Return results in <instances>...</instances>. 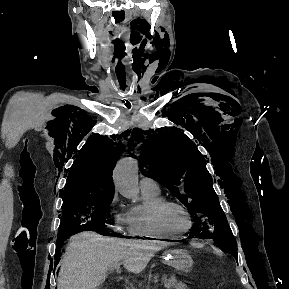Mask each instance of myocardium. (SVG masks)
<instances>
[{"label":"myocardium","mask_w":289,"mask_h":289,"mask_svg":"<svg viewBox=\"0 0 289 289\" xmlns=\"http://www.w3.org/2000/svg\"><path fill=\"white\" fill-rule=\"evenodd\" d=\"M169 206H175V207L179 208L186 215V217L188 219V226L183 231L174 233V232L167 230L164 227L162 220H161V216H162L163 210ZM150 218H151L152 223L155 226V228L158 229L160 232H162L163 234H165L168 237H179V236L185 235L186 233H188L191 230L192 225H193L192 216H191V213L188 210V208L180 201H177L174 199H164L163 198L160 201H158L151 208Z\"/></svg>","instance_id":"1"}]
</instances>
